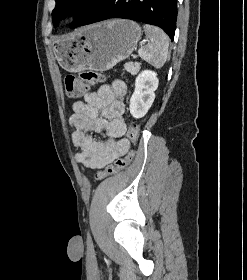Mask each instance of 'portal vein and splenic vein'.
<instances>
[{"label": "portal vein and splenic vein", "instance_id": "portal-vein-and-splenic-vein-1", "mask_svg": "<svg viewBox=\"0 0 247 280\" xmlns=\"http://www.w3.org/2000/svg\"><path fill=\"white\" fill-rule=\"evenodd\" d=\"M146 41H143L141 44H144Z\"/></svg>", "mask_w": 247, "mask_h": 280}]
</instances>
